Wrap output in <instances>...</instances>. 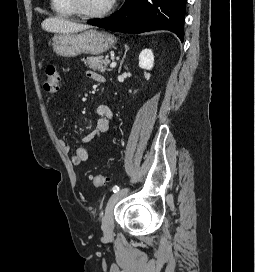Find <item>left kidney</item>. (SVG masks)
<instances>
[{
	"instance_id": "1",
	"label": "left kidney",
	"mask_w": 255,
	"mask_h": 272,
	"mask_svg": "<svg viewBox=\"0 0 255 272\" xmlns=\"http://www.w3.org/2000/svg\"><path fill=\"white\" fill-rule=\"evenodd\" d=\"M154 65V55L151 49H144L139 55V67L151 70Z\"/></svg>"
}]
</instances>
